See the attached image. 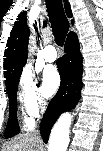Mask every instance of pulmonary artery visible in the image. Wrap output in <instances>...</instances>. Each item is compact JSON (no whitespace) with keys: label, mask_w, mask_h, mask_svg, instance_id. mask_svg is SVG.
Wrapping results in <instances>:
<instances>
[{"label":"pulmonary artery","mask_w":103,"mask_h":151,"mask_svg":"<svg viewBox=\"0 0 103 151\" xmlns=\"http://www.w3.org/2000/svg\"><path fill=\"white\" fill-rule=\"evenodd\" d=\"M44 59L47 62H53L57 59V52L53 45H48L43 50Z\"/></svg>","instance_id":"obj_1"}]
</instances>
